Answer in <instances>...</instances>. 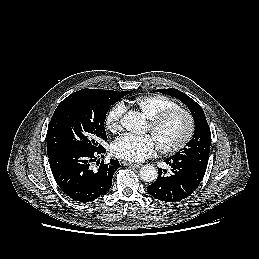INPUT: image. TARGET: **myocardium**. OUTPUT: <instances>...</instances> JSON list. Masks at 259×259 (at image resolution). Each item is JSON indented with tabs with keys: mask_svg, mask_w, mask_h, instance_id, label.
I'll return each mask as SVG.
<instances>
[{
	"mask_svg": "<svg viewBox=\"0 0 259 259\" xmlns=\"http://www.w3.org/2000/svg\"><path fill=\"white\" fill-rule=\"evenodd\" d=\"M176 115H181L186 121V132L184 136L175 144L170 146H163L157 144L159 151L166 155L175 154L183 150L189 142L192 140L195 132V121L192 114L181 107H175L165 110L153 118L149 119V129L150 133L154 134L164 123Z\"/></svg>",
	"mask_w": 259,
	"mask_h": 259,
	"instance_id": "obj_1",
	"label": "myocardium"
}]
</instances>
